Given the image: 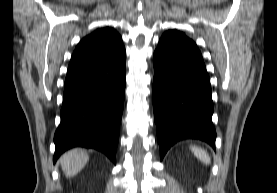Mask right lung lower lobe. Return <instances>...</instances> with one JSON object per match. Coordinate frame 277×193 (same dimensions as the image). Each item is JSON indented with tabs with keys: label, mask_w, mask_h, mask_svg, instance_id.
I'll list each match as a JSON object with an SVG mask.
<instances>
[{
	"label": "right lung lower lobe",
	"mask_w": 277,
	"mask_h": 193,
	"mask_svg": "<svg viewBox=\"0 0 277 193\" xmlns=\"http://www.w3.org/2000/svg\"><path fill=\"white\" fill-rule=\"evenodd\" d=\"M125 76V49L102 64L67 73L54 163L77 146L97 149L116 163Z\"/></svg>",
	"instance_id": "98d812e1"
}]
</instances>
